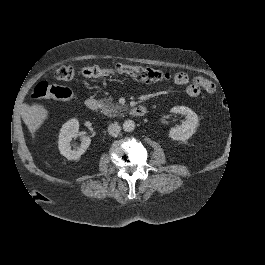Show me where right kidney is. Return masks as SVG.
I'll list each match as a JSON object with an SVG mask.
<instances>
[{"mask_svg": "<svg viewBox=\"0 0 265 265\" xmlns=\"http://www.w3.org/2000/svg\"><path fill=\"white\" fill-rule=\"evenodd\" d=\"M79 122L78 120H70L63 125L60 132L59 149L63 156L68 160H76L81 157L82 154L88 149L91 139L86 136H80L81 145L77 150H72L70 144L73 138H77L79 135Z\"/></svg>", "mask_w": 265, "mask_h": 265, "instance_id": "ca27d5eb", "label": "right kidney"}]
</instances>
